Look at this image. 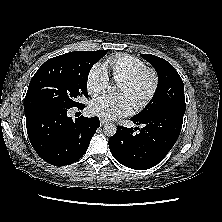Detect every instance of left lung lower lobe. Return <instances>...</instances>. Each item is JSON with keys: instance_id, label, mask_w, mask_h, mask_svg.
Listing matches in <instances>:
<instances>
[{"instance_id": "0a47b994", "label": "left lung lower lobe", "mask_w": 222, "mask_h": 222, "mask_svg": "<svg viewBox=\"0 0 222 222\" xmlns=\"http://www.w3.org/2000/svg\"><path fill=\"white\" fill-rule=\"evenodd\" d=\"M185 109L169 107L143 117H133L142 129L118 126L116 134L109 139L113 157L122 165L135 169H149L168 154L176 143ZM139 130L138 133L134 131Z\"/></svg>"}]
</instances>
